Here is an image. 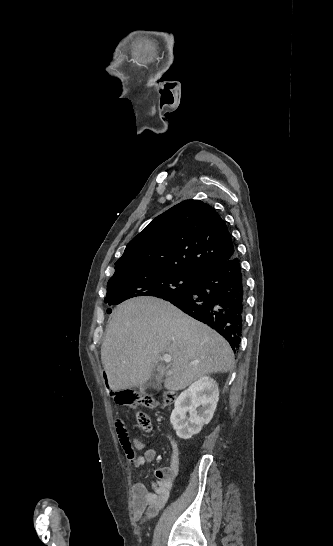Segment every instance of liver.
<instances>
[{
    "instance_id": "1",
    "label": "liver",
    "mask_w": 333,
    "mask_h": 546,
    "mask_svg": "<svg viewBox=\"0 0 333 546\" xmlns=\"http://www.w3.org/2000/svg\"><path fill=\"white\" fill-rule=\"evenodd\" d=\"M171 356L164 386L186 388L198 378L231 370L230 345L214 330L170 303L138 297L118 305L106 329L101 360L110 390L143 385L156 369L166 373L162 355Z\"/></svg>"
}]
</instances>
